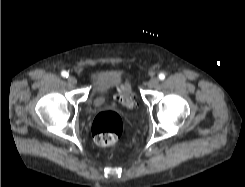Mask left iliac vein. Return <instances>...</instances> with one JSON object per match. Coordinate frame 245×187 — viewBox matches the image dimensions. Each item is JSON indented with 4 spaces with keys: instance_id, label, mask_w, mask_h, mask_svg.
Wrapping results in <instances>:
<instances>
[{
    "instance_id": "1",
    "label": "left iliac vein",
    "mask_w": 245,
    "mask_h": 187,
    "mask_svg": "<svg viewBox=\"0 0 245 187\" xmlns=\"http://www.w3.org/2000/svg\"><path fill=\"white\" fill-rule=\"evenodd\" d=\"M158 83H159V78H158V77H152V78L148 81L147 86H148L149 88H154V87H156V86L158 85Z\"/></svg>"
}]
</instances>
